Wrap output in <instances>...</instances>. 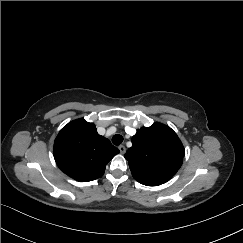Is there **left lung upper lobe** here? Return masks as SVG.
Here are the masks:
<instances>
[{
	"label": "left lung upper lobe",
	"instance_id": "5c2ea615",
	"mask_svg": "<svg viewBox=\"0 0 243 243\" xmlns=\"http://www.w3.org/2000/svg\"><path fill=\"white\" fill-rule=\"evenodd\" d=\"M125 154L133 177L141 184L158 186L170 180L182 165L184 147L177 134L161 123L142 127Z\"/></svg>",
	"mask_w": 243,
	"mask_h": 243
}]
</instances>
